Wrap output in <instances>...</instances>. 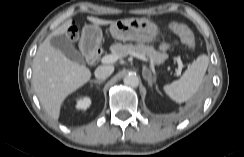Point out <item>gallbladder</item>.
I'll return each mask as SVG.
<instances>
[{
  "label": "gallbladder",
  "mask_w": 244,
  "mask_h": 157,
  "mask_svg": "<svg viewBox=\"0 0 244 157\" xmlns=\"http://www.w3.org/2000/svg\"><path fill=\"white\" fill-rule=\"evenodd\" d=\"M51 45L61 51L66 57L77 63H83V56L74 48L73 44L65 36L56 35L50 40Z\"/></svg>",
  "instance_id": "obj_1"
}]
</instances>
